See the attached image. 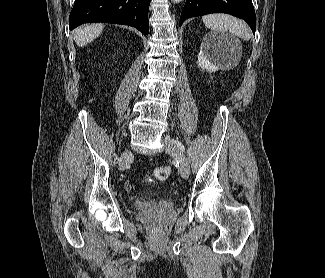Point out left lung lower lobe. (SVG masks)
I'll return each mask as SVG.
<instances>
[{
    "label": "left lung lower lobe",
    "mask_w": 325,
    "mask_h": 278,
    "mask_svg": "<svg viewBox=\"0 0 325 278\" xmlns=\"http://www.w3.org/2000/svg\"><path fill=\"white\" fill-rule=\"evenodd\" d=\"M209 13H227L245 20L253 33L256 30V15L252 0H187L180 17L184 20Z\"/></svg>",
    "instance_id": "left-lung-lower-lobe-1"
}]
</instances>
